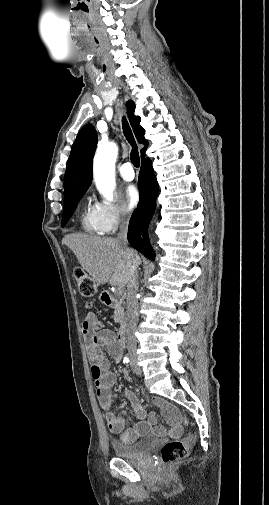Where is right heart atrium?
Listing matches in <instances>:
<instances>
[{"label":"right heart atrium","instance_id":"d8ad5b80","mask_svg":"<svg viewBox=\"0 0 269 505\" xmlns=\"http://www.w3.org/2000/svg\"><path fill=\"white\" fill-rule=\"evenodd\" d=\"M96 206L98 221L104 233L115 231L130 217V212L121 203L99 202Z\"/></svg>","mask_w":269,"mask_h":505}]
</instances>
